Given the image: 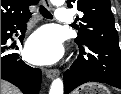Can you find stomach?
Masks as SVG:
<instances>
[{
  "label": "stomach",
  "mask_w": 121,
  "mask_h": 94,
  "mask_svg": "<svg viewBox=\"0 0 121 94\" xmlns=\"http://www.w3.org/2000/svg\"><path fill=\"white\" fill-rule=\"evenodd\" d=\"M73 94H111L109 89L104 85L97 83H87L83 85L79 90L73 92Z\"/></svg>",
  "instance_id": "0dacf381"
}]
</instances>
